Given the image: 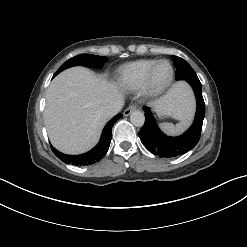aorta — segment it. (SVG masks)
Segmentation results:
<instances>
[{"mask_svg":"<svg viewBox=\"0 0 247 247\" xmlns=\"http://www.w3.org/2000/svg\"><path fill=\"white\" fill-rule=\"evenodd\" d=\"M130 121L134 126L137 127L143 126L145 122L144 113L139 110L133 111L130 115Z\"/></svg>","mask_w":247,"mask_h":247,"instance_id":"obj_1","label":"aorta"}]
</instances>
